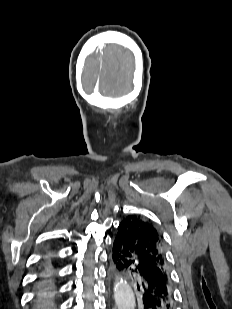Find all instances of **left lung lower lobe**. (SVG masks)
Listing matches in <instances>:
<instances>
[{"mask_svg":"<svg viewBox=\"0 0 232 309\" xmlns=\"http://www.w3.org/2000/svg\"><path fill=\"white\" fill-rule=\"evenodd\" d=\"M116 273H131L138 291L140 309H174L169 275L160 267L138 256L124 224L118 226L112 247Z\"/></svg>","mask_w":232,"mask_h":309,"instance_id":"1","label":"left lung lower lobe"}]
</instances>
